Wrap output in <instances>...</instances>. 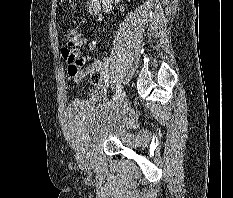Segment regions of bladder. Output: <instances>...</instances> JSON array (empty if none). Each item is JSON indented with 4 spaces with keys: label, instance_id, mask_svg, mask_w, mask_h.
Returning a JSON list of instances; mask_svg holds the SVG:
<instances>
[{
    "label": "bladder",
    "instance_id": "31cf9c89",
    "mask_svg": "<svg viewBox=\"0 0 233 198\" xmlns=\"http://www.w3.org/2000/svg\"><path fill=\"white\" fill-rule=\"evenodd\" d=\"M130 121L129 112L104 105L88 113L69 111L64 130L75 148L87 153L103 139L122 134Z\"/></svg>",
    "mask_w": 233,
    "mask_h": 198
}]
</instances>
